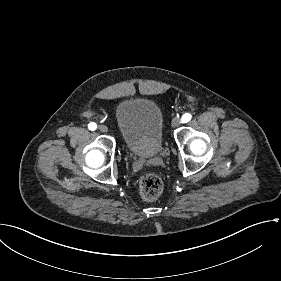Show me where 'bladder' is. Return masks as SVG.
Masks as SVG:
<instances>
[{
	"label": "bladder",
	"instance_id": "bladder-1",
	"mask_svg": "<svg viewBox=\"0 0 281 281\" xmlns=\"http://www.w3.org/2000/svg\"><path fill=\"white\" fill-rule=\"evenodd\" d=\"M114 123L128 152L148 159L164 142V112L151 97L131 96L114 106Z\"/></svg>",
	"mask_w": 281,
	"mask_h": 281
}]
</instances>
